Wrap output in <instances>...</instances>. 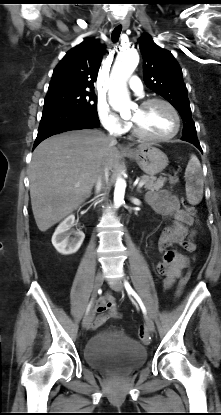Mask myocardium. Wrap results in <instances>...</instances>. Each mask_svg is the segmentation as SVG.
I'll return each instance as SVG.
<instances>
[{
	"instance_id": "myocardium-1",
	"label": "myocardium",
	"mask_w": 221,
	"mask_h": 415,
	"mask_svg": "<svg viewBox=\"0 0 221 415\" xmlns=\"http://www.w3.org/2000/svg\"><path fill=\"white\" fill-rule=\"evenodd\" d=\"M154 103H161V104L165 105L171 111V113L173 114L174 119H175V128H174V130L170 134L165 135V136H154V135H150V134L146 133L136 121L131 120L133 132L139 138L144 139V140H148V141L163 142V141L171 140V139H173L174 137H176L178 135V133L181 129L180 114H179L178 110L176 109V107L171 102H169L166 99L159 98V97L146 99V100L142 101L139 106L141 108H146V107H148V106H150Z\"/></svg>"
}]
</instances>
